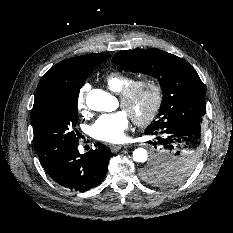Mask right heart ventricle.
Masks as SVG:
<instances>
[{"instance_id":"e07e8e85","label":"right heart ventricle","mask_w":233,"mask_h":233,"mask_svg":"<svg viewBox=\"0 0 233 233\" xmlns=\"http://www.w3.org/2000/svg\"><path fill=\"white\" fill-rule=\"evenodd\" d=\"M133 80V76L121 71L109 72L103 78V81L107 85V87L116 93H120L121 90Z\"/></svg>"}]
</instances>
